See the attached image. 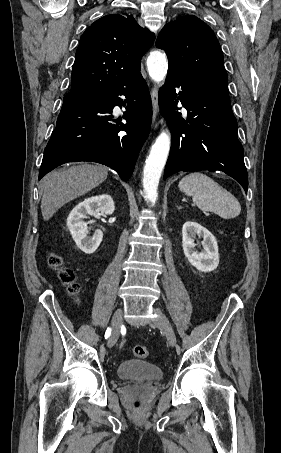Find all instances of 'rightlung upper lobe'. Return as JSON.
Masks as SVG:
<instances>
[{
  "mask_svg": "<svg viewBox=\"0 0 281 453\" xmlns=\"http://www.w3.org/2000/svg\"><path fill=\"white\" fill-rule=\"evenodd\" d=\"M155 36L132 16L110 14L86 29L72 66L71 91L113 87L140 68V60Z\"/></svg>",
  "mask_w": 281,
  "mask_h": 453,
  "instance_id": "right-lung-upper-lobe-1",
  "label": "right lung upper lobe"
}]
</instances>
